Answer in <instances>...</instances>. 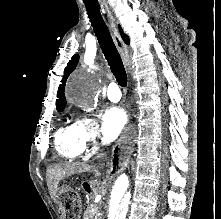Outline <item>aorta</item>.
<instances>
[{"label":"aorta","instance_id":"obj_1","mask_svg":"<svg viewBox=\"0 0 221 219\" xmlns=\"http://www.w3.org/2000/svg\"><path fill=\"white\" fill-rule=\"evenodd\" d=\"M94 86L86 76H79L70 90L71 96L81 102H89ZM132 174L124 172L119 175L111 194L109 219H126L131 200Z\"/></svg>","mask_w":221,"mask_h":219}]
</instances>
